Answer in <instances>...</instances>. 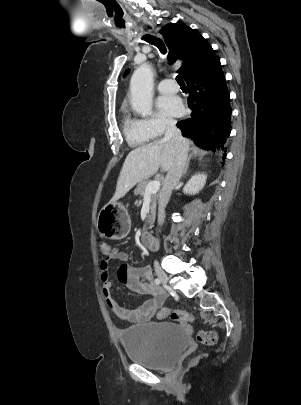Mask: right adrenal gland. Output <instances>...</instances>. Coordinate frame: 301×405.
<instances>
[{
	"mask_svg": "<svg viewBox=\"0 0 301 405\" xmlns=\"http://www.w3.org/2000/svg\"><path fill=\"white\" fill-rule=\"evenodd\" d=\"M188 168H189V160H188V162H187V164H186V166H185L183 175H186Z\"/></svg>",
	"mask_w": 301,
	"mask_h": 405,
	"instance_id": "right-adrenal-gland-1",
	"label": "right adrenal gland"
}]
</instances>
